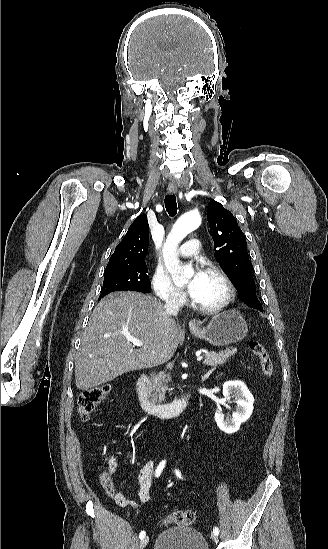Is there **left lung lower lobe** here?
Segmentation results:
<instances>
[{
	"mask_svg": "<svg viewBox=\"0 0 328 549\" xmlns=\"http://www.w3.org/2000/svg\"><path fill=\"white\" fill-rule=\"evenodd\" d=\"M249 307L255 308V309H257V310L263 312V308H262V305L260 304V302H259V303H255V304H253V305H250Z\"/></svg>",
	"mask_w": 328,
	"mask_h": 549,
	"instance_id": "left-lung-lower-lobe-1",
	"label": "left lung lower lobe"
}]
</instances>
